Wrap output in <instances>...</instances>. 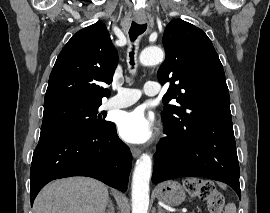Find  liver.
<instances>
[{
  "label": "liver",
  "instance_id": "1",
  "mask_svg": "<svg viewBox=\"0 0 270 213\" xmlns=\"http://www.w3.org/2000/svg\"><path fill=\"white\" fill-rule=\"evenodd\" d=\"M108 201L103 183L72 177L48 184L35 199L34 213H105Z\"/></svg>",
  "mask_w": 270,
  "mask_h": 213
}]
</instances>
